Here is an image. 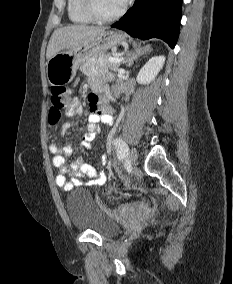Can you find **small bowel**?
I'll return each mask as SVG.
<instances>
[{
	"label": "small bowel",
	"instance_id": "obj_1",
	"mask_svg": "<svg viewBox=\"0 0 233 284\" xmlns=\"http://www.w3.org/2000/svg\"><path fill=\"white\" fill-rule=\"evenodd\" d=\"M87 86L91 87L94 92L88 96L90 113L87 131L79 137L80 142L83 144H87L95 138L97 125L100 122L107 124L112 123L110 110L98 94L103 89V82L92 79ZM82 113L83 107L80 101L77 98L70 99L66 109V115L73 117L75 115H81ZM70 127L71 123H65L62 126V132L65 133ZM49 150L52 154V163L58 169L56 184L65 191H69L75 186H101L105 183L106 174L104 170L84 162L81 158L74 161L70 166H67L66 157L72 152L71 145L60 147L58 144L52 143L49 146ZM106 163L107 156L104 155L101 159V164L105 165ZM67 176H71V179L69 180ZM84 177H87L88 180H83Z\"/></svg>",
	"mask_w": 233,
	"mask_h": 284
}]
</instances>
